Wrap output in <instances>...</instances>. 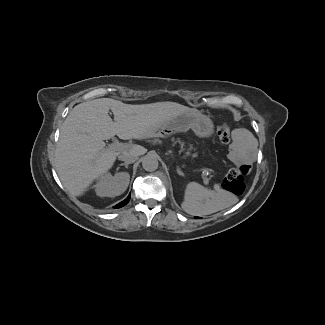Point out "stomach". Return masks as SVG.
Wrapping results in <instances>:
<instances>
[{"label": "stomach", "mask_w": 325, "mask_h": 325, "mask_svg": "<svg viewBox=\"0 0 325 325\" xmlns=\"http://www.w3.org/2000/svg\"><path fill=\"white\" fill-rule=\"evenodd\" d=\"M189 128H192L199 136H208L213 131V124L208 117L199 112H188L166 120L152 130L151 136L159 134L167 137L171 135L175 136L180 134L181 130H187Z\"/></svg>", "instance_id": "1"}]
</instances>
